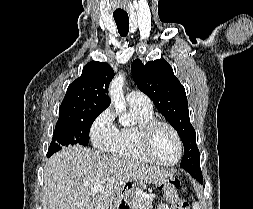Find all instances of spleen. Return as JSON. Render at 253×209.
Instances as JSON below:
<instances>
[{
    "instance_id": "3e777b00",
    "label": "spleen",
    "mask_w": 253,
    "mask_h": 209,
    "mask_svg": "<svg viewBox=\"0 0 253 209\" xmlns=\"http://www.w3.org/2000/svg\"><path fill=\"white\" fill-rule=\"evenodd\" d=\"M193 209H200V205H199L198 202H195V203L193 204Z\"/></svg>"
}]
</instances>
